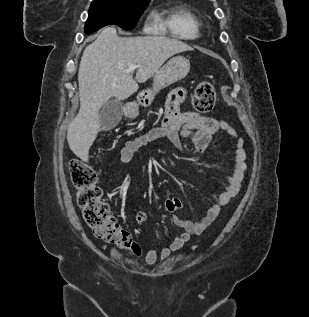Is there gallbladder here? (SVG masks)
Instances as JSON below:
<instances>
[{"label":"gallbladder","instance_id":"1","mask_svg":"<svg viewBox=\"0 0 309 317\" xmlns=\"http://www.w3.org/2000/svg\"><path fill=\"white\" fill-rule=\"evenodd\" d=\"M123 105L118 99L108 100L100 111V126L104 131H108L117 126L122 119Z\"/></svg>","mask_w":309,"mask_h":317}]
</instances>
